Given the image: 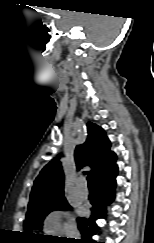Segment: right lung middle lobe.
<instances>
[{
    "label": "right lung middle lobe",
    "instance_id": "1",
    "mask_svg": "<svg viewBox=\"0 0 154 243\" xmlns=\"http://www.w3.org/2000/svg\"><path fill=\"white\" fill-rule=\"evenodd\" d=\"M69 208V204L65 197L57 199L36 207L28 208L26 214V220L24 222L25 234L29 238H43V235H37L35 233H30L32 230H41L42 222L46 215L54 210H66Z\"/></svg>",
    "mask_w": 154,
    "mask_h": 243
}]
</instances>
